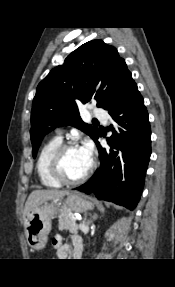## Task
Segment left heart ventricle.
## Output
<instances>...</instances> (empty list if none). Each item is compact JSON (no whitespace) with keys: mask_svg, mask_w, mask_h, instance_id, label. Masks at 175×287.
Listing matches in <instances>:
<instances>
[{"mask_svg":"<svg viewBox=\"0 0 175 287\" xmlns=\"http://www.w3.org/2000/svg\"><path fill=\"white\" fill-rule=\"evenodd\" d=\"M91 161L80 148L69 149L62 159V169L65 175L71 179L80 177L89 168Z\"/></svg>","mask_w":175,"mask_h":287,"instance_id":"left-heart-ventricle-1","label":"left heart ventricle"}]
</instances>
